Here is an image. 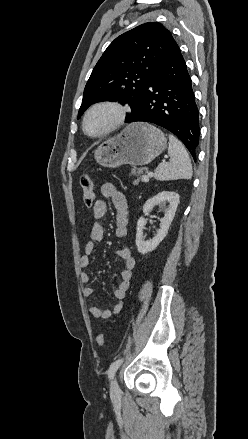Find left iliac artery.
<instances>
[{"label":"left iliac artery","mask_w":248,"mask_h":439,"mask_svg":"<svg viewBox=\"0 0 248 439\" xmlns=\"http://www.w3.org/2000/svg\"><path fill=\"white\" fill-rule=\"evenodd\" d=\"M122 362H123V359H117L116 361H114L110 365V368L108 371V375H109L110 379L114 376V374L116 373L117 369L119 368V366L121 365Z\"/></svg>","instance_id":"1"}]
</instances>
